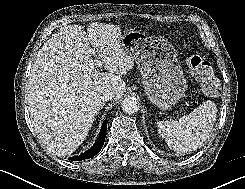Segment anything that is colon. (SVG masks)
Returning a JSON list of instances; mask_svg holds the SVG:
<instances>
[{
	"label": "colon",
	"instance_id": "obj_1",
	"mask_svg": "<svg viewBox=\"0 0 245 189\" xmlns=\"http://www.w3.org/2000/svg\"><path fill=\"white\" fill-rule=\"evenodd\" d=\"M188 66L202 87L209 93L216 94L220 90V83L214 74L212 65L199 56H190Z\"/></svg>",
	"mask_w": 245,
	"mask_h": 189
}]
</instances>
